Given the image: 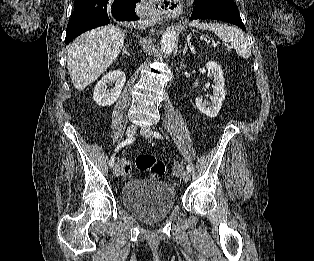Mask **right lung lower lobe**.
Here are the masks:
<instances>
[{"mask_svg": "<svg viewBox=\"0 0 314 261\" xmlns=\"http://www.w3.org/2000/svg\"><path fill=\"white\" fill-rule=\"evenodd\" d=\"M108 1L110 0H75L74 12L67 25L65 43L69 44L75 37L88 30L109 24L110 11L118 21L137 20L135 6L140 0H123L117 9Z\"/></svg>", "mask_w": 314, "mask_h": 261, "instance_id": "98d812e1", "label": "right lung lower lobe"}]
</instances>
